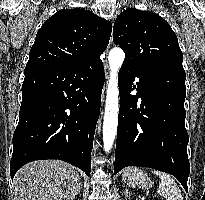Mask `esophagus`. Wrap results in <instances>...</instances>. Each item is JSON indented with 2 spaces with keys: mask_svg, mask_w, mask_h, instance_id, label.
<instances>
[{
  "mask_svg": "<svg viewBox=\"0 0 205 200\" xmlns=\"http://www.w3.org/2000/svg\"><path fill=\"white\" fill-rule=\"evenodd\" d=\"M111 42H112V36H111V38H110L109 45H108L107 50H106V54L108 53V50H109L110 45H111ZM105 67L108 69V64H107V62L105 63Z\"/></svg>",
  "mask_w": 205,
  "mask_h": 200,
  "instance_id": "34e87169",
  "label": "esophagus"
}]
</instances>
